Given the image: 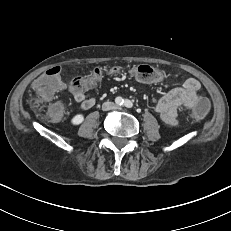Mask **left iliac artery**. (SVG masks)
<instances>
[{
    "instance_id": "left-iliac-artery-1",
    "label": "left iliac artery",
    "mask_w": 231,
    "mask_h": 231,
    "mask_svg": "<svg viewBox=\"0 0 231 231\" xmlns=\"http://www.w3.org/2000/svg\"><path fill=\"white\" fill-rule=\"evenodd\" d=\"M123 105L125 107H127V108H132L133 107V103L128 99L124 100Z\"/></svg>"
}]
</instances>
